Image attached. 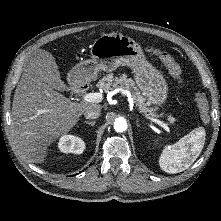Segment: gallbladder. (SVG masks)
<instances>
[{
  "instance_id": "gallbladder-1",
  "label": "gallbladder",
  "mask_w": 221,
  "mask_h": 221,
  "mask_svg": "<svg viewBox=\"0 0 221 221\" xmlns=\"http://www.w3.org/2000/svg\"><path fill=\"white\" fill-rule=\"evenodd\" d=\"M31 63L36 68V76L47 84H53L57 90H67L56 69L55 58L45 51H35L31 55Z\"/></svg>"
}]
</instances>
